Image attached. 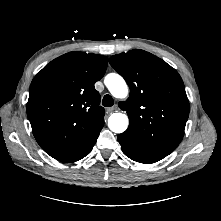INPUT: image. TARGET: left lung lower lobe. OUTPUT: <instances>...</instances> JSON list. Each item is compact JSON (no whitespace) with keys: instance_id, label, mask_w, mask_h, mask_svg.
Wrapping results in <instances>:
<instances>
[{"instance_id":"left-lung-lower-lobe-1","label":"left lung lower lobe","mask_w":221,"mask_h":221,"mask_svg":"<svg viewBox=\"0 0 221 221\" xmlns=\"http://www.w3.org/2000/svg\"><path fill=\"white\" fill-rule=\"evenodd\" d=\"M123 153L130 159L139 163H155L165 157V155L157 154L148 150L137 142L125 131L117 136Z\"/></svg>"}]
</instances>
